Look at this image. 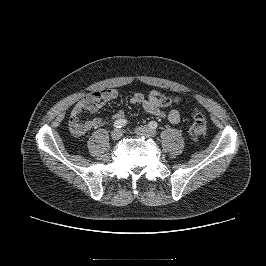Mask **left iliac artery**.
<instances>
[{
    "instance_id": "left-iliac-artery-1",
    "label": "left iliac artery",
    "mask_w": 266,
    "mask_h": 266,
    "mask_svg": "<svg viewBox=\"0 0 266 266\" xmlns=\"http://www.w3.org/2000/svg\"><path fill=\"white\" fill-rule=\"evenodd\" d=\"M148 125H149V127L152 128V129H156L157 126H158L157 122H155V121H151V122H149Z\"/></svg>"
}]
</instances>
